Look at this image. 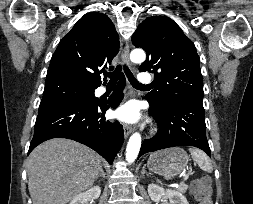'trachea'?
I'll list each match as a JSON object with an SVG mask.
<instances>
[{
  "mask_svg": "<svg viewBox=\"0 0 253 204\" xmlns=\"http://www.w3.org/2000/svg\"><path fill=\"white\" fill-rule=\"evenodd\" d=\"M121 69H122V66L119 65V66H117V68L114 72L106 73V75L110 78V81L108 83L109 86H115L116 85ZM123 69H124V72H125L128 80L130 81V83L133 87H136V88L145 87L137 81V79L133 76L130 69L126 65L123 66Z\"/></svg>",
  "mask_w": 253,
  "mask_h": 204,
  "instance_id": "3493384b",
  "label": "trachea"
}]
</instances>
